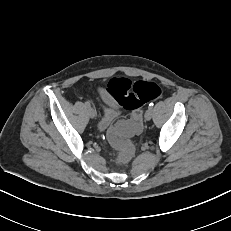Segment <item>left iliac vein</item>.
<instances>
[{
  "label": "left iliac vein",
  "mask_w": 231,
  "mask_h": 231,
  "mask_svg": "<svg viewBox=\"0 0 231 231\" xmlns=\"http://www.w3.org/2000/svg\"><path fill=\"white\" fill-rule=\"evenodd\" d=\"M145 120L149 121L152 118V109H147L144 115Z\"/></svg>",
  "instance_id": "obj_1"
}]
</instances>
